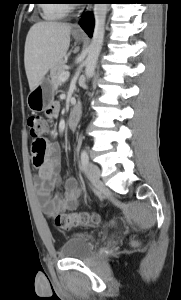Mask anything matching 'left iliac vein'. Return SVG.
<instances>
[{
  "instance_id": "left-iliac-vein-1",
  "label": "left iliac vein",
  "mask_w": 181,
  "mask_h": 300,
  "mask_svg": "<svg viewBox=\"0 0 181 300\" xmlns=\"http://www.w3.org/2000/svg\"><path fill=\"white\" fill-rule=\"evenodd\" d=\"M86 174L88 179L91 181V183L98 187L100 185H102L101 183V170L100 168L94 164V163H89L86 166Z\"/></svg>"
}]
</instances>
